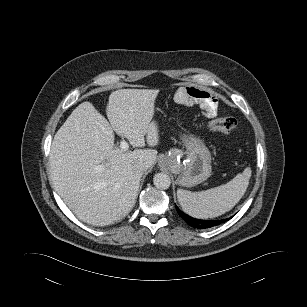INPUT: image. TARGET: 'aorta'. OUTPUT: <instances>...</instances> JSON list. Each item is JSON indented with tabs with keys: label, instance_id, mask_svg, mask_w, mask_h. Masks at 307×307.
I'll return each mask as SVG.
<instances>
[{
	"label": "aorta",
	"instance_id": "1",
	"mask_svg": "<svg viewBox=\"0 0 307 307\" xmlns=\"http://www.w3.org/2000/svg\"><path fill=\"white\" fill-rule=\"evenodd\" d=\"M153 183L157 189L166 190L171 185V179L169 175L165 173H157L153 178Z\"/></svg>",
	"mask_w": 307,
	"mask_h": 307
}]
</instances>
